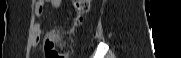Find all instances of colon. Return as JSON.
I'll list each match as a JSON object with an SVG mask.
<instances>
[{
    "instance_id": "obj_1",
    "label": "colon",
    "mask_w": 181,
    "mask_h": 58,
    "mask_svg": "<svg viewBox=\"0 0 181 58\" xmlns=\"http://www.w3.org/2000/svg\"><path fill=\"white\" fill-rule=\"evenodd\" d=\"M74 6L76 9L74 23L79 24L82 21V16L88 12L90 3L88 0H75ZM55 42L56 40L51 37L45 39L44 50L46 58H67L66 54L59 53L55 50Z\"/></svg>"
}]
</instances>
